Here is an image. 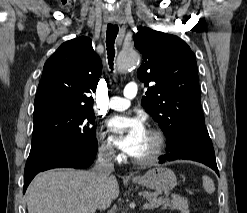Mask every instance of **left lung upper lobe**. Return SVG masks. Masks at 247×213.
I'll list each match as a JSON object with an SVG mask.
<instances>
[{"label":"left lung upper lobe","instance_id":"5c2ea615","mask_svg":"<svg viewBox=\"0 0 247 213\" xmlns=\"http://www.w3.org/2000/svg\"><path fill=\"white\" fill-rule=\"evenodd\" d=\"M134 45L143 58L137 75L147 87L142 106L158 122L168 145L184 129L205 126L197 63L190 47L177 36L147 27L136 34Z\"/></svg>","mask_w":247,"mask_h":213}]
</instances>
